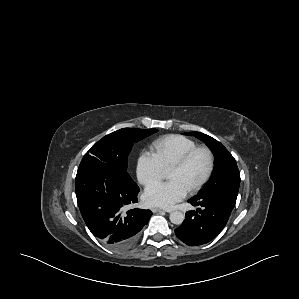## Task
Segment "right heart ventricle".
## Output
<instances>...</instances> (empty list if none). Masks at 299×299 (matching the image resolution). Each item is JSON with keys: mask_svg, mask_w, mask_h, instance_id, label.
I'll list each match as a JSON object with an SVG mask.
<instances>
[{"mask_svg": "<svg viewBox=\"0 0 299 299\" xmlns=\"http://www.w3.org/2000/svg\"><path fill=\"white\" fill-rule=\"evenodd\" d=\"M196 146L197 143L194 140L179 134L167 135L152 143L154 154L165 171H168L187 151Z\"/></svg>", "mask_w": 299, "mask_h": 299, "instance_id": "right-heart-ventricle-1", "label": "right heart ventricle"}]
</instances>
